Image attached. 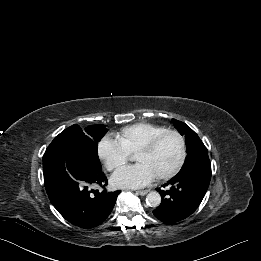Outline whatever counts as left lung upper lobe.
<instances>
[{
	"instance_id": "5c2ea615",
	"label": "left lung upper lobe",
	"mask_w": 261,
	"mask_h": 261,
	"mask_svg": "<svg viewBox=\"0 0 261 261\" xmlns=\"http://www.w3.org/2000/svg\"><path fill=\"white\" fill-rule=\"evenodd\" d=\"M173 123L180 134L185 136L187 156L181 169L184 171L193 166L198 159L207 156L208 151L198 135L188 125L177 120H173Z\"/></svg>"
}]
</instances>
